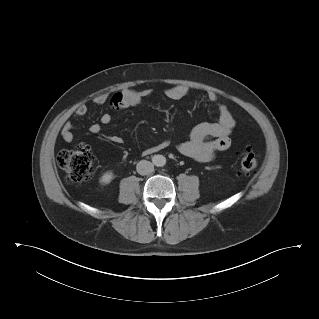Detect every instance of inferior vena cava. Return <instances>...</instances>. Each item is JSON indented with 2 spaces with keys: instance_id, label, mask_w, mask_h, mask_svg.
Masks as SVG:
<instances>
[{
  "instance_id": "inferior-vena-cava-1",
  "label": "inferior vena cava",
  "mask_w": 319,
  "mask_h": 319,
  "mask_svg": "<svg viewBox=\"0 0 319 319\" xmlns=\"http://www.w3.org/2000/svg\"><path fill=\"white\" fill-rule=\"evenodd\" d=\"M137 172L140 175H148L153 172L154 166L150 161L141 160L136 166Z\"/></svg>"
}]
</instances>
